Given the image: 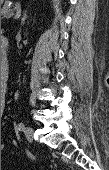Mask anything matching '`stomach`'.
<instances>
[{
  "label": "stomach",
  "instance_id": "0dacf381",
  "mask_svg": "<svg viewBox=\"0 0 109 170\" xmlns=\"http://www.w3.org/2000/svg\"><path fill=\"white\" fill-rule=\"evenodd\" d=\"M5 0H1V4L4 2Z\"/></svg>",
  "mask_w": 109,
  "mask_h": 170
}]
</instances>
